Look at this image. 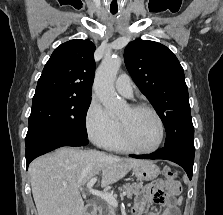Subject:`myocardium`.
Listing matches in <instances>:
<instances>
[{"label":"myocardium","instance_id":"myocardium-1","mask_svg":"<svg viewBox=\"0 0 223 215\" xmlns=\"http://www.w3.org/2000/svg\"><path fill=\"white\" fill-rule=\"evenodd\" d=\"M129 107L133 110H146L154 117V119L156 120L157 125H158V131H159L158 140L155 143V145L151 148H148V149L136 148L131 143L125 126L123 125L122 122L119 121V132L118 133H119L120 141L122 142V144L125 146V148L128 151H131L134 153H152V152L157 151L159 149V147L161 146L163 138H164V125H163V122H162L159 114L153 107H151L150 105H148L146 103H137V104L131 105Z\"/></svg>","mask_w":223,"mask_h":215}]
</instances>
